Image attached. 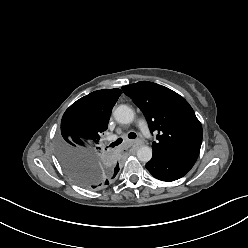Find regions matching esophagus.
<instances>
[{
    "mask_svg": "<svg viewBox=\"0 0 248 248\" xmlns=\"http://www.w3.org/2000/svg\"><path fill=\"white\" fill-rule=\"evenodd\" d=\"M140 145H141V141L140 140H136V141H133L132 142L133 149H137Z\"/></svg>",
    "mask_w": 248,
    "mask_h": 248,
    "instance_id": "1",
    "label": "esophagus"
}]
</instances>
